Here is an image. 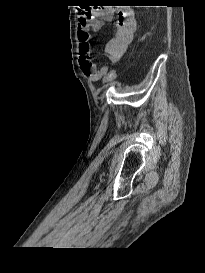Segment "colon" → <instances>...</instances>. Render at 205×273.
<instances>
[{
  "mask_svg": "<svg viewBox=\"0 0 205 273\" xmlns=\"http://www.w3.org/2000/svg\"><path fill=\"white\" fill-rule=\"evenodd\" d=\"M115 78H116V71H115V70H112V71H110V72L107 74V76L105 77V81H106L107 83H111V82H113V81L115 80Z\"/></svg>",
  "mask_w": 205,
  "mask_h": 273,
  "instance_id": "1",
  "label": "colon"
}]
</instances>
